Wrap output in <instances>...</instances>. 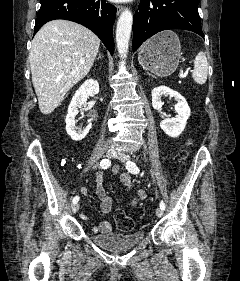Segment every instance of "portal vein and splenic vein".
<instances>
[{
  "mask_svg": "<svg viewBox=\"0 0 240 281\" xmlns=\"http://www.w3.org/2000/svg\"><path fill=\"white\" fill-rule=\"evenodd\" d=\"M187 74H188V71H185V72H180V74H179V76H180V78H185L186 76H187Z\"/></svg>",
  "mask_w": 240,
  "mask_h": 281,
  "instance_id": "obj_1",
  "label": "portal vein and splenic vein"
}]
</instances>
